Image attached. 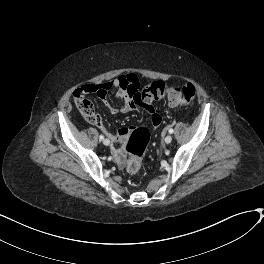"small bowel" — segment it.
I'll return each mask as SVG.
<instances>
[{
    "label": "small bowel",
    "mask_w": 264,
    "mask_h": 264,
    "mask_svg": "<svg viewBox=\"0 0 264 264\" xmlns=\"http://www.w3.org/2000/svg\"><path fill=\"white\" fill-rule=\"evenodd\" d=\"M112 87L116 89L117 98L122 103V112H131L136 110L133 96L141 87V81L134 73L120 75L109 82L96 86L95 92L97 96L108 106L110 112L115 111L107 103V92ZM170 105L176 106L178 104L170 102ZM145 110L149 114L150 126L153 129H156L161 124V116L151 106H146ZM96 126L114 143V146L111 149V155L119 167H124L126 163V155L122 149V144L131 134L134 127H121L116 133H113L101 120L98 124H96Z\"/></svg>",
    "instance_id": "obj_1"
}]
</instances>
